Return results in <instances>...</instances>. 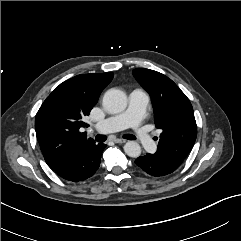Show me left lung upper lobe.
<instances>
[{
	"label": "left lung upper lobe",
	"mask_w": 241,
	"mask_h": 241,
	"mask_svg": "<svg viewBox=\"0 0 241 241\" xmlns=\"http://www.w3.org/2000/svg\"><path fill=\"white\" fill-rule=\"evenodd\" d=\"M133 74L150 94L154 121L156 127L162 130L157 152L152 156L179 167L192 150L197 136L192 105L167 76L144 68L135 69Z\"/></svg>",
	"instance_id": "5c2ea615"
}]
</instances>
